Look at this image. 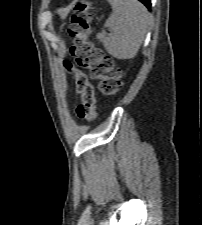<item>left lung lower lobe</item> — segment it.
<instances>
[{
	"label": "left lung lower lobe",
	"mask_w": 202,
	"mask_h": 225,
	"mask_svg": "<svg viewBox=\"0 0 202 225\" xmlns=\"http://www.w3.org/2000/svg\"><path fill=\"white\" fill-rule=\"evenodd\" d=\"M142 2L148 9L151 7V1L150 0H139Z\"/></svg>",
	"instance_id": "left-lung-lower-lobe-1"
}]
</instances>
